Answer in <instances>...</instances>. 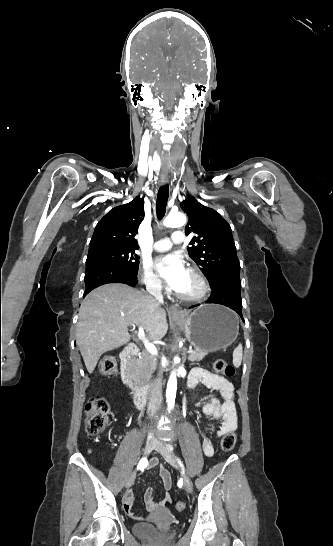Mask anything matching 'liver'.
Returning <instances> with one entry per match:
<instances>
[{"label":"liver","mask_w":333,"mask_h":546,"mask_svg":"<svg viewBox=\"0 0 333 546\" xmlns=\"http://www.w3.org/2000/svg\"><path fill=\"white\" fill-rule=\"evenodd\" d=\"M135 325L150 340H161L168 330L166 312L153 297L122 283L105 284L86 296L79 309L76 339L89 373L102 354L130 341L128 326Z\"/></svg>","instance_id":"obj_1"}]
</instances>
